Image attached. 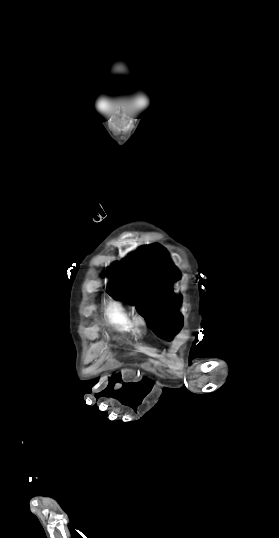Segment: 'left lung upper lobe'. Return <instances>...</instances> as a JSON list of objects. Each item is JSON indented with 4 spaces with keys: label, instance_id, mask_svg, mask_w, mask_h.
I'll use <instances>...</instances> for the list:
<instances>
[{
    "label": "left lung upper lobe",
    "instance_id": "5c2ea615",
    "mask_svg": "<svg viewBox=\"0 0 279 538\" xmlns=\"http://www.w3.org/2000/svg\"><path fill=\"white\" fill-rule=\"evenodd\" d=\"M160 245L141 246L136 252L109 267L107 292L115 299L135 305L159 337L177 334L183 325L181 305L172 285L177 268Z\"/></svg>",
    "mask_w": 279,
    "mask_h": 538
}]
</instances>
